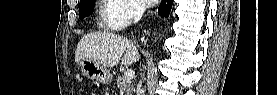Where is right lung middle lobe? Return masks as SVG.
<instances>
[{"label": "right lung middle lobe", "instance_id": "dd1d6c3e", "mask_svg": "<svg viewBox=\"0 0 277 95\" xmlns=\"http://www.w3.org/2000/svg\"><path fill=\"white\" fill-rule=\"evenodd\" d=\"M95 5V0H83L80 2L79 17L80 19L85 18L92 14Z\"/></svg>", "mask_w": 277, "mask_h": 95}]
</instances>
